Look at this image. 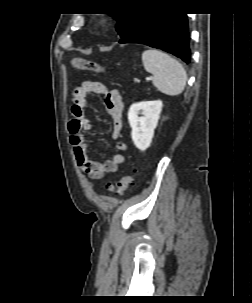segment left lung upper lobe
I'll list each match as a JSON object with an SVG mask.
<instances>
[{"label":"left lung upper lobe","instance_id":"1","mask_svg":"<svg viewBox=\"0 0 252 303\" xmlns=\"http://www.w3.org/2000/svg\"><path fill=\"white\" fill-rule=\"evenodd\" d=\"M111 15L117 19L116 30L118 31L122 39L135 28V26L138 24V22L144 15V12L139 10L133 13H116Z\"/></svg>","mask_w":252,"mask_h":303}]
</instances>
